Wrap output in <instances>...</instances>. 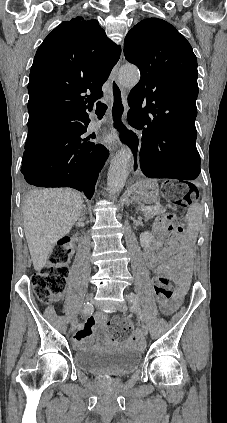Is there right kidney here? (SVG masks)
Masks as SVG:
<instances>
[{"label": "right kidney", "instance_id": "ca27d5eb", "mask_svg": "<svg viewBox=\"0 0 227 423\" xmlns=\"http://www.w3.org/2000/svg\"><path fill=\"white\" fill-rule=\"evenodd\" d=\"M72 241H74V239H77V233H75V235H73V237H71Z\"/></svg>", "mask_w": 227, "mask_h": 423}]
</instances>
